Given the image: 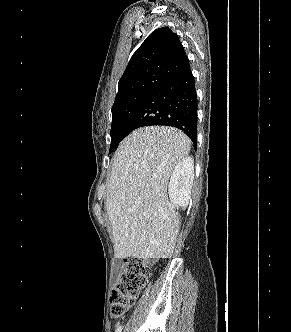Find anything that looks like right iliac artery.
Returning a JSON list of instances; mask_svg holds the SVG:
<instances>
[{"instance_id": "right-iliac-artery-1", "label": "right iliac artery", "mask_w": 291, "mask_h": 332, "mask_svg": "<svg viewBox=\"0 0 291 332\" xmlns=\"http://www.w3.org/2000/svg\"><path fill=\"white\" fill-rule=\"evenodd\" d=\"M122 328H123V326H119V327L116 329L115 332H121V331H122Z\"/></svg>"}]
</instances>
